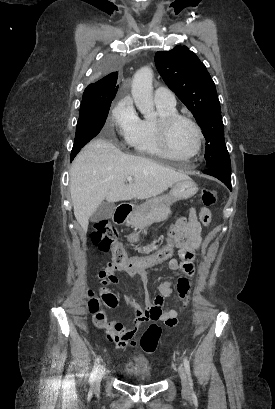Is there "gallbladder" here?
<instances>
[{"mask_svg": "<svg viewBox=\"0 0 275 409\" xmlns=\"http://www.w3.org/2000/svg\"><path fill=\"white\" fill-rule=\"evenodd\" d=\"M115 209L114 202H101L96 213H93L92 217H90V221L92 223H99V221H104V219H111Z\"/></svg>", "mask_w": 275, "mask_h": 409, "instance_id": "obj_1", "label": "gallbladder"}]
</instances>
